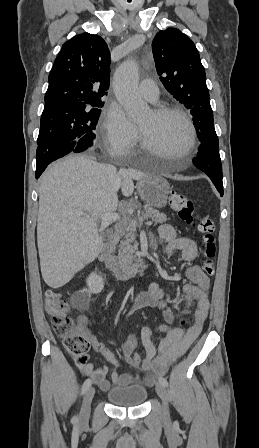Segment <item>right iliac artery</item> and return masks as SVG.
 I'll list each match as a JSON object with an SVG mask.
<instances>
[{
    "label": "right iliac artery",
    "mask_w": 259,
    "mask_h": 448,
    "mask_svg": "<svg viewBox=\"0 0 259 448\" xmlns=\"http://www.w3.org/2000/svg\"><path fill=\"white\" fill-rule=\"evenodd\" d=\"M90 386H91V380L88 378V379H86V380L84 381V383H83L81 394H82V395L85 394L86 391L89 389ZM73 422H75V423L78 422V418H77V416H74V417H73Z\"/></svg>",
    "instance_id": "obj_1"
}]
</instances>
